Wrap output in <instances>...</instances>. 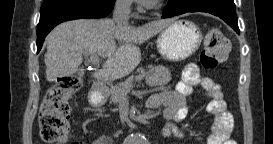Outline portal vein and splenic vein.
I'll return each instance as SVG.
<instances>
[{
    "label": "portal vein and splenic vein",
    "mask_w": 273,
    "mask_h": 144,
    "mask_svg": "<svg viewBox=\"0 0 273 144\" xmlns=\"http://www.w3.org/2000/svg\"><path fill=\"white\" fill-rule=\"evenodd\" d=\"M90 62L93 64H97L99 62V57L97 54H91L90 56ZM144 77V75H140L139 76V80L142 79Z\"/></svg>",
    "instance_id": "18ae733b"
}]
</instances>
